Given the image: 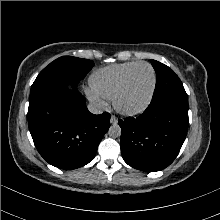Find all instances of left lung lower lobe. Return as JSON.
<instances>
[{
  "mask_svg": "<svg viewBox=\"0 0 220 220\" xmlns=\"http://www.w3.org/2000/svg\"><path fill=\"white\" fill-rule=\"evenodd\" d=\"M121 153L131 167L160 171L177 157L188 129V106L173 101L151 102L137 118L120 120Z\"/></svg>",
  "mask_w": 220,
  "mask_h": 220,
  "instance_id": "obj_1",
  "label": "left lung lower lobe"
}]
</instances>
